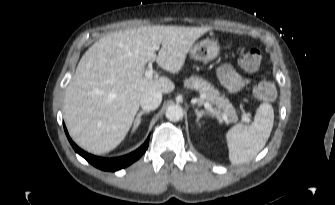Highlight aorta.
Here are the masks:
<instances>
[{"mask_svg":"<svg viewBox=\"0 0 335 205\" xmlns=\"http://www.w3.org/2000/svg\"><path fill=\"white\" fill-rule=\"evenodd\" d=\"M166 118L170 121L176 122L183 118V109L179 105H170L166 109Z\"/></svg>","mask_w":335,"mask_h":205,"instance_id":"1","label":"aorta"}]
</instances>
